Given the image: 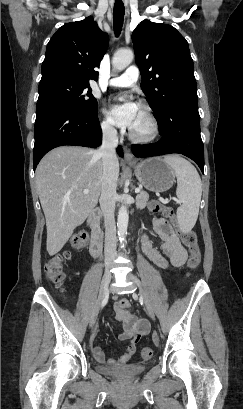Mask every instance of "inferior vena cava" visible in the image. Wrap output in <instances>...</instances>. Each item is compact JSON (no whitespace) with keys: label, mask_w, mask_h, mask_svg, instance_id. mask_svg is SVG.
<instances>
[{"label":"inferior vena cava","mask_w":243,"mask_h":409,"mask_svg":"<svg viewBox=\"0 0 243 409\" xmlns=\"http://www.w3.org/2000/svg\"><path fill=\"white\" fill-rule=\"evenodd\" d=\"M102 131V145L97 151L102 158L103 164V182L99 203L104 217V254L105 263L108 264L111 263L116 257V225L114 211L118 179V172L116 170V147L118 146V136L116 129L108 124L102 127Z\"/></svg>","instance_id":"602c4592"}]
</instances>
